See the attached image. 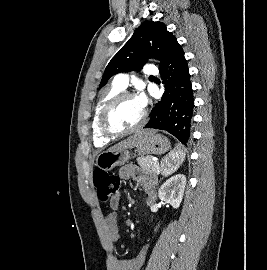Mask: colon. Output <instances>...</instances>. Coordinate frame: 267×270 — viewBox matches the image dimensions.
I'll list each match as a JSON object with an SVG mask.
<instances>
[{"label": "colon", "mask_w": 267, "mask_h": 270, "mask_svg": "<svg viewBox=\"0 0 267 270\" xmlns=\"http://www.w3.org/2000/svg\"><path fill=\"white\" fill-rule=\"evenodd\" d=\"M93 183L98 199L103 203L111 201L120 190L119 177L103 170L94 171Z\"/></svg>", "instance_id": "obj_1"}]
</instances>
